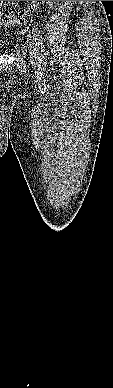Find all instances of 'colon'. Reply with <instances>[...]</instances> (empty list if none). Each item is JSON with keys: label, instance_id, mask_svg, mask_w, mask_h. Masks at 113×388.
<instances>
[{"label": "colon", "instance_id": "5ec220e1", "mask_svg": "<svg viewBox=\"0 0 113 388\" xmlns=\"http://www.w3.org/2000/svg\"><path fill=\"white\" fill-rule=\"evenodd\" d=\"M42 3L43 1H31L29 5L19 13V15H15L13 12L8 10L0 11V25L12 27L22 24L26 20V17L33 14Z\"/></svg>", "mask_w": 113, "mask_h": 388}]
</instances>
